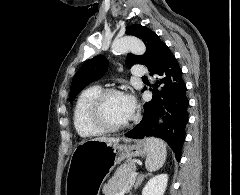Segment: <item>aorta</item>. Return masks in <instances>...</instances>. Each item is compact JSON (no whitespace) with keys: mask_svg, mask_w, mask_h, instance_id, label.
Here are the masks:
<instances>
[{"mask_svg":"<svg viewBox=\"0 0 240 195\" xmlns=\"http://www.w3.org/2000/svg\"><path fill=\"white\" fill-rule=\"evenodd\" d=\"M111 50L113 54L132 52V54H136V56H143L146 52V46L139 38H121L119 42H113Z\"/></svg>","mask_w":240,"mask_h":195,"instance_id":"1","label":"aorta"}]
</instances>
